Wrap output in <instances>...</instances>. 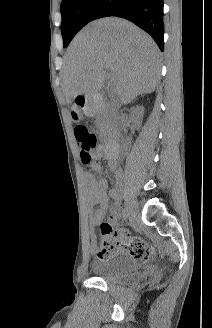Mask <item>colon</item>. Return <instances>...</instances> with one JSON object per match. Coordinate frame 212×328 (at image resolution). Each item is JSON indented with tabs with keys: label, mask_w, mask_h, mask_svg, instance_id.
<instances>
[{
	"label": "colon",
	"mask_w": 212,
	"mask_h": 328,
	"mask_svg": "<svg viewBox=\"0 0 212 328\" xmlns=\"http://www.w3.org/2000/svg\"><path fill=\"white\" fill-rule=\"evenodd\" d=\"M75 138L80 150V157L83 164L91 163L97 148V138L85 124H77L75 129ZM102 241L98 250V255L102 258H108L114 251L117 244V233L107 223L101 225ZM149 257V252L144 251L140 262Z\"/></svg>",
	"instance_id": "1"
}]
</instances>
